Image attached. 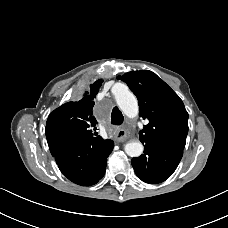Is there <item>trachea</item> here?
I'll use <instances>...</instances> for the list:
<instances>
[{
	"instance_id": "obj_1",
	"label": "trachea",
	"mask_w": 228,
	"mask_h": 228,
	"mask_svg": "<svg viewBox=\"0 0 228 228\" xmlns=\"http://www.w3.org/2000/svg\"><path fill=\"white\" fill-rule=\"evenodd\" d=\"M123 115L118 107H114L111 114V123L114 125H121L123 123Z\"/></svg>"
}]
</instances>
